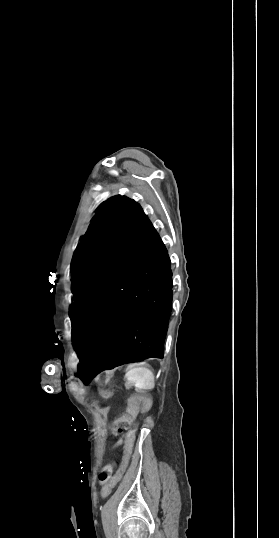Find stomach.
<instances>
[{
  "mask_svg": "<svg viewBox=\"0 0 279 538\" xmlns=\"http://www.w3.org/2000/svg\"><path fill=\"white\" fill-rule=\"evenodd\" d=\"M102 394H103V398L106 401H111L114 398V393L111 390H109L108 388H103L102 389Z\"/></svg>",
  "mask_w": 279,
  "mask_h": 538,
  "instance_id": "1",
  "label": "stomach"
}]
</instances>
